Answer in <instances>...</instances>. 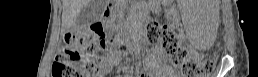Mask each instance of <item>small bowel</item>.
Instances as JSON below:
<instances>
[{
	"instance_id": "c3829d8e",
	"label": "small bowel",
	"mask_w": 258,
	"mask_h": 77,
	"mask_svg": "<svg viewBox=\"0 0 258 77\" xmlns=\"http://www.w3.org/2000/svg\"><path fill=\"white\" fill-rule=\"evenodd\" d=\"M119 61H120V54L117 52H111L104 55L103 57L100 58V64L97 72L95 73V77L105 76L110 72V70L113 67H115L119 63ZM148 69L157 70L158 72H160V70L163 69L164 70L163 73H166V74L173 73V71L168 65L162 66L160 63H158V61H156L155 59V55L150 56Z\"/></svg>"
}]
</instances>
